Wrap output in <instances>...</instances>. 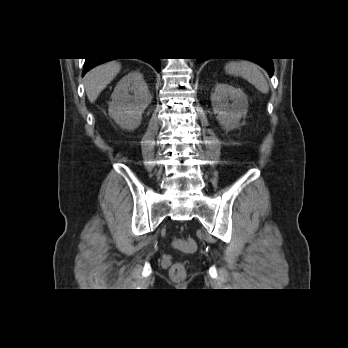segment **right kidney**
<instances>
[{"label": "right kidney", "mask_w": 348, "mask_h": 348, "mask_svg": "<svg viewBox=\"0 0 348 348\" xmlns=\"http://www.w3.org/2000/svg\"><path fill=\"white\" fill-rule=\"evenodd\" d=\"M109 103V116L123 129L134 130L152 101L148 86L139 71L125 75L116 85Z\"/></svg>", "instance_id": "obj_1"}]
</instances>
